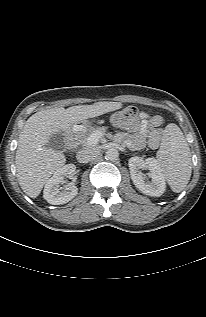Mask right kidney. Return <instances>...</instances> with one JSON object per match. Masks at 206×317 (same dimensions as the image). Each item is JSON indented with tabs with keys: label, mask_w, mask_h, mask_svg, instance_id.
Wrapping results in <instances>:
<instances>
[{
	"label": "right kidney",
	"mask_w": 206,
	"mask_h": 317,
	"mask_svg": "<svg viewBox=\"0 0 206 317\" xmlns=\"http://www.w3.org/2000/svg\"><path fill=\"white\" fill-rule=\"evenodd\" d=\"M75 165L67 164L58 169L54 175L47 180L44 187V199L52 205L65 204L71 201L77 194L78 188L75 186ZM73 179V182L69 183L65 188L60 187L65 179Z\"/></svg>",
	"instance_id": "1"
}]
</instances>
